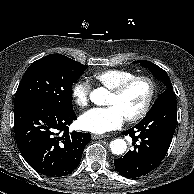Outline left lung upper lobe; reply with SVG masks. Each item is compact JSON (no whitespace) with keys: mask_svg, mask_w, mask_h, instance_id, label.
<instances>
[{"mask_svg":"<svg viewBox=\"0 0 194 194\" xmlns=\"http://www.w3.org/2000/svg\"><path fill=\"white\" fill-rule=\"evenodd\" d=\"M137 62H139L145 68L149 69L151 71V73L155 76V78L163 81L165 86H166V90L158 96L153 107L156 106L157 104L162 103V102H166L169 100H176L175 92L173 90L171 81H170L169 76L167 75L166 71H164L159 66H157L156 64H154L150 61L138 60Z\"/></svg>","mask_w":194,"mask_h":194,"instance_id":"left-lung-upper-lobe-1","label":"left lung upper lobe"}]
</instances>
